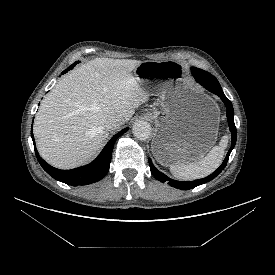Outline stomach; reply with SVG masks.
Listing matches in <instances>:
<instances>
[{
    "instance_id": "1",
    "label": "stomach",
    "mask_w": 275,
    "mask_h": 275,
    "mask_svg": "<svg viewBox=\"0 0 275 275\" xmlns=\"http://www.w3.org/2000/svg\"><path fill=\"white\" fill-rule=\"evenodd\" d=\"M186 66L176 61H144L134 74L140 84H152L161 111L147 113L155 123L152 153L164 166L202 159L216 143L219 109L197 92L185 77Z\"/></svg>"
}]
</instances>
